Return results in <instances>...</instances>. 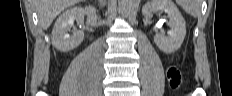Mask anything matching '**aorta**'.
Wrapping results in <instances>:
<instances>
[{
	"label": "aorta",
	"instance_id": "1",
	"mask_svg": "<svg viewBox=\"0 0 232 96\" xmlns=\"http://www.w3.org/2000/svg\"><path fill=\"white\" fill-rule=\"evenodd\" d=\"M120 9L125 13L129 14L133 8V0H118Z\"/></svg>",
	"mask_w": 232,
	"mask_h": 96
}]
</instances>
